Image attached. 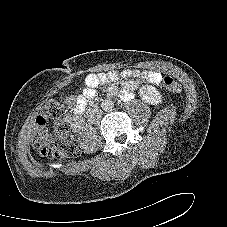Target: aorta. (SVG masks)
Wrapping results in <instances>:
<instances>
[{
	"mask_svg": "<svg viewBox=\"0 0 227 227\" xmlns=\"http://www.w3.org/2000/svg\"><path fill=\"white\" fill-rule=\"evenodd\" d=\"M101 107L104 111H112L113 107H114V103L112 100L110 99H107V100H104L102 103H101Z\"/></svg>",
	"mask_w": 227,
	"mask_h": 227,
	"instance_id": "obj_1",
	"label": "aorta"
}]
</instances>
